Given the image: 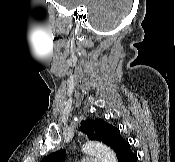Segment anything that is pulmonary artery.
Segmentation results:
<instances>
[{
  "instance_id": "pulmonary-artery-1",
  "label": "pulmonary artery",
  "mask_w": 175,
  "mask_h": 162,
  "mask_svg": "<svg viewBox=\"0 0 175 162\" xmlns=\"http://www.w3.org/2000/svg\"><path fill=\"white\" fill-rule=\"evenodd\" d=\"M83 162H100V160H98L96 158H87Z\"/></svg>"
}]
</instances>
